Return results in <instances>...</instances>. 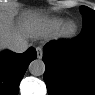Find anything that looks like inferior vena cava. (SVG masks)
I'll use <instances>...</instances> for the list:
<instances>
[{
	"label": "inferior vena cava",
	"mask_w": 95,
	"mask_h": 95,
	"mask_svg": "<svg viewBox=\"0 0 95 95\" xmlns=\"http://www.w3.org/2000/svg\"><path fill=\"white\" fill-rule=\"evenodd\" d=\"M9 49L15 53H23L28 49V42L25 39H20L10 44Z\"/></svg>",
	"instance_id": "inferior-vena-cava-1"
}]
</instances>
